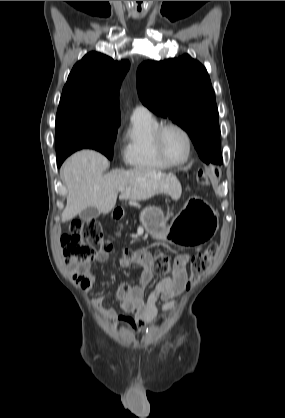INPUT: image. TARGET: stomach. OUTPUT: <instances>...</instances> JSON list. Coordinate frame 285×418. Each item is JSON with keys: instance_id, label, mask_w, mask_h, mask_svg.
<instances>
[{"instance_id": "1", "label": "stomach", "mask_w": 285, "mask_h": 418, "mask_svg": "<svg viewBox=\"0 0 285 418\" xmlns=\"http://www.w3.org/2000/svg\"><path fill=\"white\" fill-rule=\"evenodd\" d=\"M216 212L199 197H190L170 225L156 227L153 221L158 212L148 207L141 213L140 220L151 235L162 234L177 245L190 247L212 239L217 229Z\"/></svg>"}]
</instances>
